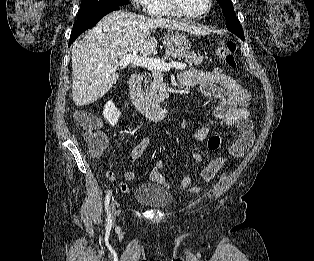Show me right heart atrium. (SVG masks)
I'll use <instances>...</instances> for the list:
<instances>
[{"mask_svg":"<svg viewBox=\"0 0 314 261\" xmlns=\"http://www.w3.org/2000/svg\"><path fill=\"white\" fill-rule=\"evenodd\" d=\"M133 3L140 8L150 11L155 0H132Z\"/></svg>","mask_w":314,"mask_h":261,"instance_id":"obj_1","label":"right heart atrium"}]
</instances>
